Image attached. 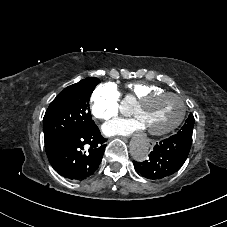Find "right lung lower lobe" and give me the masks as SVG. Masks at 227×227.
I'll return each mask as SVG.
<instances>
[{"label": "right lung lower lobe", "instance_id": "obj_1", "mask_svg": "<svg viewBox=\"0 0 227 227\" xmlns=\"http://www.w3.org/2000/svg\"><path fill=\"white\" fill-rule=\"evenodd\" d=\"M105 141L96 124H93L57 136L45 143V150L52 167L60 175L71 180H82L98 169L106 147Z\"/></svg>", "mask_w": 227, "mask_h": 227}]
</instances>
